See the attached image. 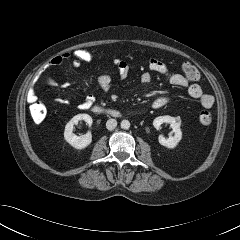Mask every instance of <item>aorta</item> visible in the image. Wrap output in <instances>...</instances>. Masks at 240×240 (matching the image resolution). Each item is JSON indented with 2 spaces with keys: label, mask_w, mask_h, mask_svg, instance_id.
Returning a JSON list of instances; mask_svg holds the SVG:
<instances>
[{
  "label": "aorta",
  "mask_w": 240,
  "mask_h": 240,
  "mask_svg": "<svg viewBox=\"0 0 240 240\" xmlns=\"http://www.w3.org/2000/svg\"><path fill=\"white\" fill-rule=\"evenodd\" d=\"M121 128L122 129H129L130 128V122L128 120H122L121 121Z\"/></svg>",
  "instance_id": "1"
}]
</instances>
